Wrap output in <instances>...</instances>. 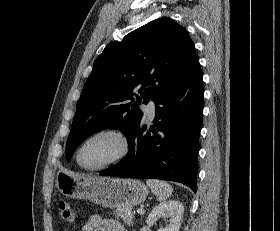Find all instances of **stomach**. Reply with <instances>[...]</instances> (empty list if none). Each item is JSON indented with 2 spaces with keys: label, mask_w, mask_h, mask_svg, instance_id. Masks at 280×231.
<instances>
[{
  "label": "stomach",
  "mask_w": 280,
  "mask_h": 231,
  "mask_svg": "<svg viewBox=\"0 0 280 231\" xmlns=\"http://www.w3.org/2000/svg\"><path fill=\"white\" fill-rule=\"evenodd\" d=\"M56 187L66 197L89 199L103 207H132L146 199L149 189L139 179L81 175L70 169H59Z\"/></svg>",
  "instance_id": "stomach-1"
}]
</instances>
